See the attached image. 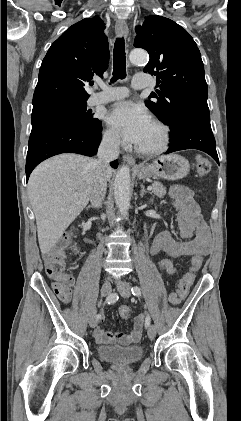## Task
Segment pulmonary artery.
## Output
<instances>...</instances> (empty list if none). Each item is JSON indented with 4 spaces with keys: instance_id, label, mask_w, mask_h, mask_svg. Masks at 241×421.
Listing matches in <instances>:
<instances>
[{
    "instance_id": "obj_1",
    "label": "pulmonary artery",
    "mask_w": 241,
    "mask_h": 421,
    "mask_svg": "<svg viewBox=\"0 0 241 421\" xmlns=\"http://www.w3.org/2000/svg\"><path fill=\"white\" fill-rule=\"evenodd\" d=\"M150 85L149 78L143 75H136L132 81V88L143 89ZM129 90L126 87H111L105 88L103 91L93 94L89 98L90 105H97L108 103L115 100H120L127 97Z\"/></svg>"
}]
</instances>
